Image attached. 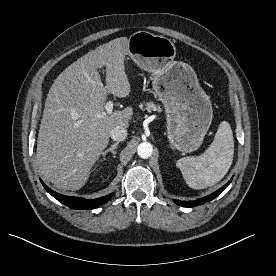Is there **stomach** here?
Masks as SVG:
<instances>
[{
	"mask_svg": "<svg viewBox=\"0 0 276 276\" xmlns=\"http://www.w3.org/2000/svg\"><path fill=\"white\" fill-rule=\"evenodd\" d=\"M127 55L154 75L152 87L165 108L171 146L185 153L198 149L210 127L213 111L193 68L174 60L176 47L170 39L146 31L129 37Z\"/></svg>",
	"mask_w": 276,
	"mask_h": 276,
	"instance_id": "0dacf381",
	"label": "stomach"
}]
</instances>
